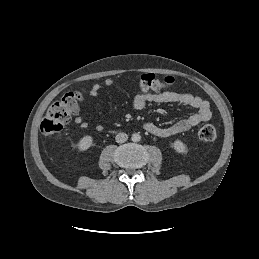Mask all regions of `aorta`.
<instances>
[{"mask_svg":"<svg viewBox=\"0 0 259 259\" xmlns=\"http://www.w3.org/2000/svg\"><path fill=\"white\" fill-rule=\"evenodd\" d=\"M131 139L133 142H139L141 140V136L139 133H134V134H132Z\"/></svg>","mask_w":259,"mask_h":259,"instance_id":"obj_1","label":"aorta"}]
</instances>
